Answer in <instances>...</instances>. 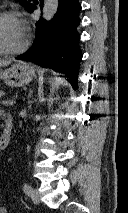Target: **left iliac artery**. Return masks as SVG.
<instances>
[{
    "instance_id": "obj_1",
    "label": "left iliac artery",
    "mask_w": 128,
    "mask_h": 213,
    "mask_svg": "<svg viewBox=\"0 0 128 213\" xmlns=\"http://www.w3.org/2000/svg\"><path fill=\"white\" fill-rule=\"evenodd\" d=\"M23 190H24V192H25L27 195H30L32 188H31V186H30L29 184L24 183V185H23Z\"/></svg>"
}]
</instances>
